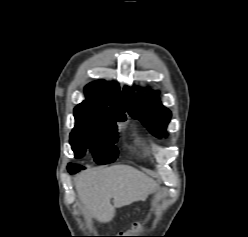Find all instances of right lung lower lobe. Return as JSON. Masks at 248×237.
Segmentation results:
<instances>
[{"instance_id":"1","label":"right lung lower lobe","mask_w":248,"mask_h":237,"mask_svg":"<svg viewBox=\"0 0 248 237\" xmlns=\"http://www.w3.org/2000/svg\"><path fill=\"white\" fill-rule=\"evenodd\" d=\"M81 169H84V167L82 166V168H78V169H74V170H69L70 173H76L78 171H80Z\"/></svg>"}]
</instances>
